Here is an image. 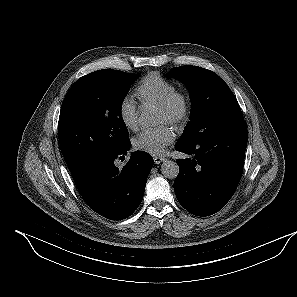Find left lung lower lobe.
Returning <instances> with one entry per match:
<instances>
[{
  "label": "left lung lower lobe",
  "instance_id": "0a47b994",
  "mask_svg": "<svg viewBox=\"0 0 297 297\" xmlns=\"http://www.w3.org/2000/svg\"><path fill=\"white\" fill-rule=\"evenodd\" d=\"M246 145L245 123L213 132L193 144L177 142V151L194 156L176 161L180 171L174 191L179 203L196 216L218 212L237 189Z\"/></svg>",
  "mask_w": 297,
  "mask_h": 297
}]
</instances>
